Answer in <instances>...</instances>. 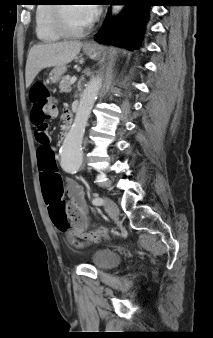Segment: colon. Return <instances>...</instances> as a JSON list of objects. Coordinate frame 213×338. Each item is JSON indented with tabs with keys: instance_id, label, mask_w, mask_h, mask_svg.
I'll use <instances>...</instances> for the list:
<instances>
[{
	"instance_id": "1",
	"label": "colon",
	"mask_w": 213,
	"mask_h": 338,
	"mask_svg": "<svg viewBox=\"0 0 213 338\" xmlns=\"http://www.w3.org/2000/svg\"><path fill=\"white\" fill-rule=\"evenodd\" d=\"M31 102L30 119L36 127L35 138L41 144L40 154L43 157H48L52 154L47 148V144L51 142L53 134L46 125V121L53 118L57 111V104L51 98L48 86L44 82L35 83L29 92ZM51 217L54 223L58 226L65 222L66 208L61 202H56L50 209ZM103 234L108 237V233L103 231Z\"/></svg>"
}]
</instances>
